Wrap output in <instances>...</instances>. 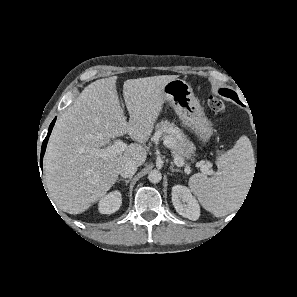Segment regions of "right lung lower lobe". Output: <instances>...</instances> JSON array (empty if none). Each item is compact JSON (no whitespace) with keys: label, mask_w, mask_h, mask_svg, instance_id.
Masks as SVG:
<instances>
[{"label":"right lung lower lobe","mask_w":297,"mask_h":297,"mask_svg":"<svg viewBox=\"0 0 297 297\" xmlns=\"http://www.w3.org/2000/svg\"><path fill=\"white\" fill-rule=\"evenodd\" d=\"M55 121H56V119H54V120L52 121V123L50 124V126H49V130H48V134H47V136H46V138H45V140L43 141V144H42V148H41V157H40V165H41V168H42V160H43V156H44V153H45V150H46V145H47V142H48V138H49L50 133H51V131H52V128H53V126H54V124H55Z\"/></svg>","instance_id":"obj_1"}]
</instances>
